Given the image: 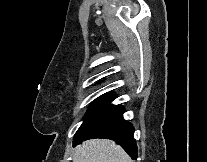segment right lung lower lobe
<instances>
[{
	"label": "right lung lower lobe",
	"instance_id": "obj_1",
	"mask_svg": "<svg viewBox=\"0 0 207 162\" xmlns=\"http://www.w3.org/2000/svg\"><path fill=\"white\" fill-rule=\"evenodd\" d=\"M114 95H110L84 121L75 134L74 145L91 138H106L116 141L131 156L137 159V146L134 139V128L123 118L124 109L112 105Z\"/></svg>",
	"mask_w": 207,
	"mask_h": 162
}]
</instances>
